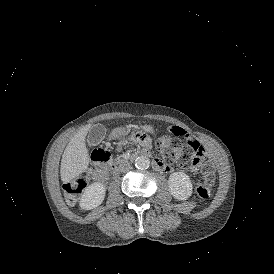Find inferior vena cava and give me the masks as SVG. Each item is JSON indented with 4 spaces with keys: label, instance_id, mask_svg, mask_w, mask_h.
<instances>
[{
    "label": "inferior vena cava",
    "instance_id": "obj_1",
    "mask_svg": "<svg viewBox=\"0 0 274 274\" xmlns=\"http://www.w3.org/2000/svg\"><path fill=\"white\" fill-rule=\"evenodd\" d=\"M131 169H132V166L130 164H125L120 167V171L124 173L128 172Z\"/></svg>",
    "mask_w": 274,
    "mask_h": 274
}]
</instances>
